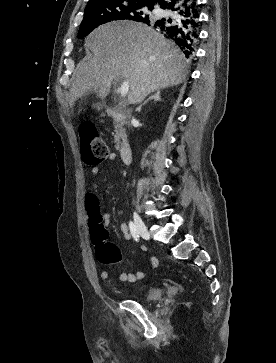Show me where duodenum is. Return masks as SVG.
<instances>
[{
  "instance_id": "410a0bca",
  "label": "duodenum",
  "mask_w": 276,
  "mask_h": 363,
  "mask_svg": "<svg viewBox=\"0 0 276 363\" xmlns=\"http://www.w3.org/2000/svg\"><path fill=\"white\" fill-rule=\"evenodd\" d=\"M105 112L107 116L116 119L118 121H125L126 119V113L119 108L106 107ZM131 155H132L131 145L127 140H125L121 145L120 159L124 164H126L131 160Z\"/></svg>"
}]
</instances>
